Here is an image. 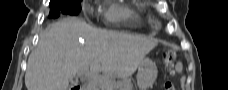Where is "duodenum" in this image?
Wrapping results in <instances>:
<instances>
[{
	"instance_id": "duodenum-1",
	"label": "duodenum",
	"mask_w": 228,
	"mask_h": 90,
	"mask_svg": "<svg viewBox=\"0 0 228 90\" xmlns=\"http://www.w3.org/2000/svg\"><path fill=\"white\" fill-rule=\"evenodd\" d=\"M71 90H83L81 86L77 85L71 88Z\"/></svg>"
}]
</instances>
